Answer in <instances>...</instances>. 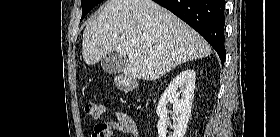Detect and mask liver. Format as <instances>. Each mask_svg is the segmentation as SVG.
I'll list each match as a JSON object with an SVG mask.
<instances>
[{
  "label": "liver",
  "instance_id": "liver-1",
  "mask_svg": "<svg viewBox=\"0 0 280 137\" xmlns=\"http://www.w3.org/2000/svg\"><path fill=\"white\" fill-rule=\"evenodd\" d=\"M212 49L194 29L152 0H109L83 33L82 55L94 65L104 56H128L126 76L156 80Z\"/></svg>",
  "mask_w": 280,
  "mask_h": 137
}]
</instances>
